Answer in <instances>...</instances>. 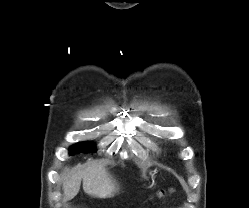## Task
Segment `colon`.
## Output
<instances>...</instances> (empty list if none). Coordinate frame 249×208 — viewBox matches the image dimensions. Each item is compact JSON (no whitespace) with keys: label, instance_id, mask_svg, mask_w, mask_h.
<instances>
[{"label":"colon","instance_id":"obj_1","mask_svg":"<svg viewBox=\"0 0 249 208\" xmlns=\"http://www.w3.org/2000/svg\"><path fill=\"white\" fill-rule=\"evenodd\" d=\"M158 196H159V197H164V196H165V191H164V190H160V191L158 192Z\"/></svg>","mask_w":249,"mask_h":208}]
</instances>
